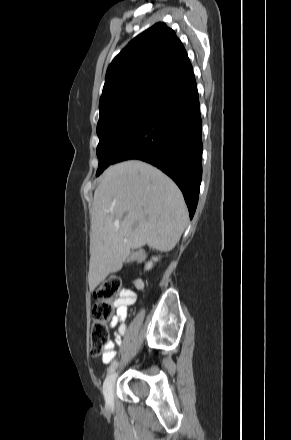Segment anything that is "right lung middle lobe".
Masks as SVG:
<instances>
[{
  "instance_id": "1",
  "label": "right lung middle lobe",
  "mask_w": 291,
  "mask_h": 440,
  "mask_svg": "<svg viewBox=\"0 0 291 440\" xmlns=\"http://www.w3.org/2000/svg\"><path fill=\"white\" fill-rule=\"evenodd\" d=\"M154 98L138 96L99 107L100 116L97 124L99 165L96 176L111 165L113 157L140 124Z\"/></svg>"
}]
</instances>
